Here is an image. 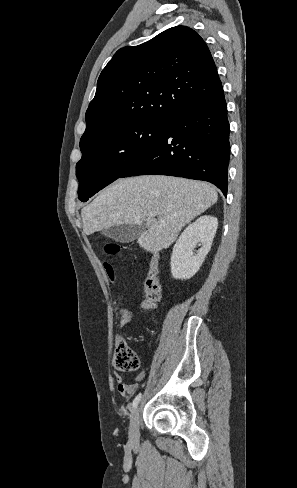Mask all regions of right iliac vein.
I'll list each match as a JSON object with an SVG mask.
<instances>
[{"label":"right iliac vein","mask_w":297,"mask_h":488,"mask_svg":"<svg viewBox=\"0 0 297 488\" xmlns=\"http://www.w3.org/2000/svg\"><path fill=\"white\" fill-rule=\"evenodd\" d=\"M139 424H140V417H139V408H135L132 411L130 416V424H129V443L132 446H137L139 442Z\"/></svg>","instance_id":"1"}]
</instances>
